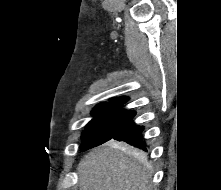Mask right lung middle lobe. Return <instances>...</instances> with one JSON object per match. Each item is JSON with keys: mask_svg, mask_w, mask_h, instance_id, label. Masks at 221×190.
Returning <instances> with one entry per match:
<instances>
[{"mask_svg": "<svg viewBox=\"0 0 221 190\" xmlns=\"http://www.w3.org/2000/svg\"><path fill=\"white\" fill-rule=\"evenodd\" d=\"M135 114V111L120 109L117 106L97 105L92 111L94 118L82 133V151L112 139L133 119Z\"/></svg>", "mask_w": 221, "mask_h": 190, "instance_id": "1", "label": "right lung middle lobe"}]
</instances>
